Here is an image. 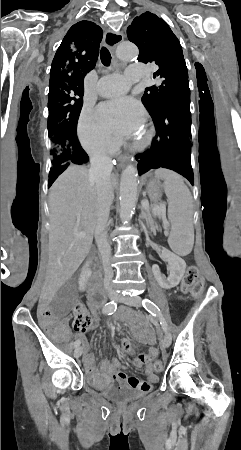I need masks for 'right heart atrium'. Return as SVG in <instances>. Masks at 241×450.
Returning <instances> with one entry per match:
<instances>
[{"mask_svg":"<svg viewBox=\"0 0 241 450\" xmlns=\"http://www.w3.org/2000/svg\"><path fill=\"white\" fill-rule=\"evenodd\" d=\"M78 136L83 143V149L93 157H106L112 154L108 152L115 145L112 135L99 125L89 107L82 109L77 125ZM107 152V153H106Z\"/></svg>","mask_w":241,"mask_h":450,"instance_id":"1","label":"right heart atrium"}]
</instances>
